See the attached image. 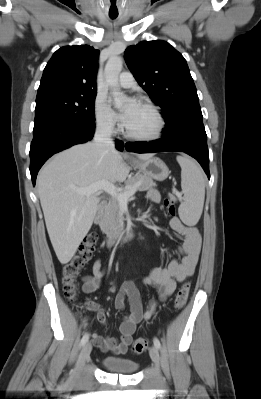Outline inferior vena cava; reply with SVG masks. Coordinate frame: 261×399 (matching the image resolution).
Segmentation results:
<instances>
[{
    "instance_id": "1",
    "label": "inferior vena cava",
    "mask_w": 261,
    "mask_h": 399,
    "mask_svg": "<svg viewBox=\"0 0 261 399\" xmlns=\"http://www.w3.org/2000/svg\"><path fill=\"white\" fill-rule=\"evenodd\" d=\"M112 129L108 123L99 124L96 128L94 142L105 145L109 149H114V143L111 138Z\"/></svg>"
}]
</instances>
